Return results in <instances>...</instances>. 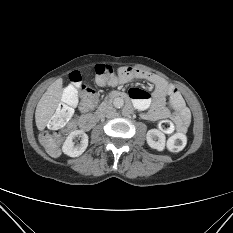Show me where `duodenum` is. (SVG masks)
Instances as JSON below:
<instances>
[{
    "instance_id": "410a0bca",
    "label": "duodenum",
    "mask_w": 233,
    "mask_h": 233,
    "mask_svg": "<svg viewBox=\"0 0 233 233\" xmlns=\"http://www.w3.org/2000/svg\"><path fill=\"white\" fill-rule=\"evenodd\" d=\"M116 99H122L125 101L129 100V96L126 93L120 92V91H115L112 92L105 104L95 113L89 114V115H84L79 119V126L81 129L87 131L90 130L92 127L95 126V124L100 120V118L103 116L104 111L106 110L108 104Z\"/></svg>"
}]
</instances>
